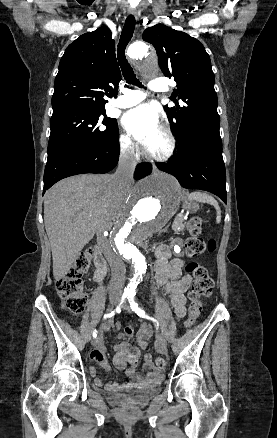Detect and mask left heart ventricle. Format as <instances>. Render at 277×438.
Returning a JSON list of instances; mask_svg holds the SVG:
<instances>
[{
	"instance_id": "obj_1",
	"label": "left heart ventricle",
	"mask_w": 277,
	"mask_h": 438,
	"mask_svg": "<svg viewBox=\"0 0 277 438\" xmlns=\"http://www.w3.org/2000/svg\"><path fill=\"white\" fill-rule=\"evenodd\" d=\"M167 149H168V140L166 136L161 131L158 130V132L155 133L148 141L144 150L150 155L161 156L165 154Z\"/></svg>"
}]
</instances>
